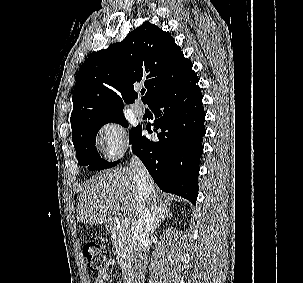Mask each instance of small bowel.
<instances>
[{
  "label": "small bowel",
  "mask_w": 303,
  "mask_h": 283,
  "mask_svg": "<svg viewBox=\"0 0 303 283\" xmlns=\"http://www.w3.org/2000/svg\"><path fill=\"white\" fill-rule=\"evenodd\" d=\"M114 265L113 259H108L105 263L104 268L99 272L95 283H107L110 278L109 270Z\"/></svg>",
  "instance_id": "1"
}]
</instances>
